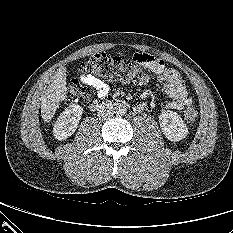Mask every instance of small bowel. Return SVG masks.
Returning a JSON list of instances; mask_svg holds the SVG:
<instances>
[{
	"instance_id": "c3829d8e",
	"label": "small bowel",
	"mask_w": 233,
	"mask_h": 233,
	"mask_svg": "<svg viewBox=\"0 0 233 233\" xmlns=\"http://www.w3.org/2000/svg\"><path fill=\"white\" fill-rule=\"evenodd\" d=\"M141 59L144 68L150 69L157 74V81L162 90L171 99L166 107L171 110H181L191 104L192 99L187 93L184 81L180 73L172 68H166L163 60L149 54H136ZM81 81L88 85L93 94L98 98H104L109 92V85L93 75H83ZM143 105L138 107L142 110Z\"/></svg>"
}]
</instances>
